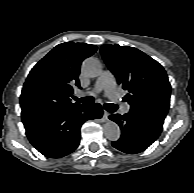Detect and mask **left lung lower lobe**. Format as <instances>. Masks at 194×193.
<instances>
[{
    "label": "left lung lower lobe",
    "mask_w": 194,
    "mask_h": 193,
    "mask_svg": "<svg viewBox=\"0 0 194 193\" xmlns=\"http://www.w3.org/2000/svg\"><path fill=\"white\" fill-rule=\"evenodd\" d=\"M122 131L119 140L112 145L125 153L135 154L147 149L160 135L164 119L146 115L140 112L129 111L123 116L110 115Z\"/></svg>",
    "instance_id": "1"
}]
</instances>
